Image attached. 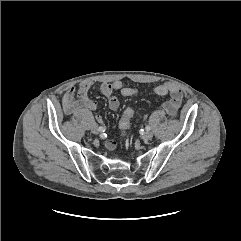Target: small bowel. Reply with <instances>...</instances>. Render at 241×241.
<instances>
[{
	"label": "small bowel",
	"instance_id": "small-bowel-1",
	"mask_svg": "<svg viewBox=\"0 0 241 241\" xmlns=\"http://www.w3.org/2000/svg\"><path fill=\"white\" fill-rule=\"evenodd\" d=\"M92 86V82H84L79 87H69L62 97L63 110L65 114L71 115L79 110L88 109L95 110L97 102L89 98L88 91ZM100 92L107 97L108 107L111 111L118 110L120 102L115 92L122 96L130 97L139 94L140 90L134 87H127L120 80L102 83L99 87ZM152 91L157 95H169L170 98L163 104V109L171 117L177 115V111L183 100L182 91L172 83H163L153 87ZM105 146L109 150H113L116 144L112 140H107Z\"/></svg>",
	"mask_w": 241,
	"mask_h": 241
}]
</instances>
